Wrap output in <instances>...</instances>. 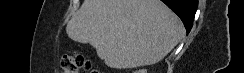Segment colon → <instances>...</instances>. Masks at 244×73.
I'll use <instances>...</instances> for the list:
<instances>
[{"instance_id": "obj_1", "label": "colon", "mask_w": 244, "mask_h": 73, "mask_svg": "<svg viewBox=\"0 0 244 73\" xmlns=\"http://www.w3.org/2000/svg\"><path fill=\"white\" fill-rule=\"evenodd\" d=\"M61 68L64 73H79L81 69L91 70V62L83 55H64L61 59Z\"/></svg>"}]
</instances>
